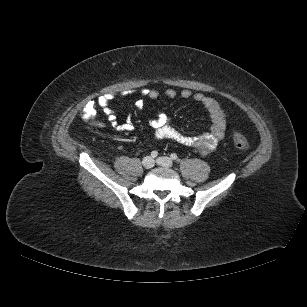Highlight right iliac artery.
<instances>
[{"label":"right iliac artery","mask_w":307,"mask_h":307,"mask_svg":"<svg viewBox=\"0 0 307 307\" xmlns=\"http://www.w3.org/2000/svg\"><path fill=\"white\" fill-rule=\"evenodd\" d=\"M151 158H156L158 156V152L157 151H152L150 154Z\"/></svg>","instance_id":"obj_1"}]
</instances>
